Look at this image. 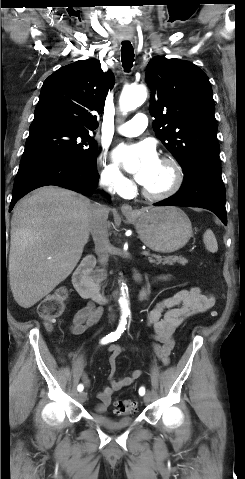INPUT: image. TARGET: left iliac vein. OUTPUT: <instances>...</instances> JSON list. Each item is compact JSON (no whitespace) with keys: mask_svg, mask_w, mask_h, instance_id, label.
Here are the masks:
<instances>
[{"mask_svg":"<svg viewBox=\"0 0 245 479\" xmlns=\"http://www.w3.org/2000/svg\"><path fill=\"white\" fill-rule=\"evenodd\" d=\"M150 401V394L147 393L145 396H144V402L145 403H148Z\"/></svg>","mask_w":245,"mask_h":479,"instance_id":"left-iliac-vein-1","label":"left iliac vein"}]
</instances>
